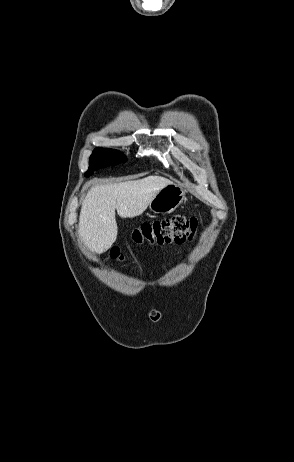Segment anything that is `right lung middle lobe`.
<instances>
[{"mask_svg": "<svg viewBox=\"0 0 294 462\" xmlns=\"http://www.w3.org/2000/svg\"><path fill=\"white\" fill-rule=\"evenodd\" d=\"M98 155L109 157L117 163H120L121 161L124 162L126 160L125 156L121 152L112 149L97 148L93 151L91 157Z\"/></svg>", "mask_w": 294, "mask_h": 462, "instance_id": "dd1d6c3e", "label": "right lung middle lobe"}]
</instances>
